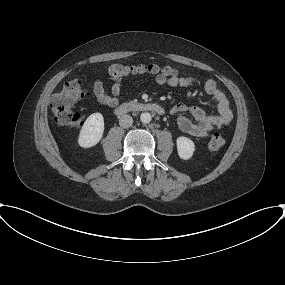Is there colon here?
Returning a JSON list of instances; mask_svg holds the SVG:
<instances>
[{
	"label": "colon",
	"mask_w": 285,
	"mask_h": 285,
	"mask_svg": "<svg viewBox=\"0 0 285 285\" xmlns=\"http://www.w3.org/2000/svg\"><path fill=\"white\" fill-rule=\"evenodd\" d=\"M108 74L112 79L120 80L127 76L150 74L170 78L177 76V71L169 66L161 67L155 64L126 66L114 64L109 67ZM87 92L80 81L72 80L64 84L60 92L55 93L50 100V107L54 114L55 122L62 127L78 128L82 125L81 116L74 111L75 103L83 99ZM225 144L224 138L215 133L211 136L208 146L211 150H218Z\"/></svg>",
	"instance_id": "5ec220e1"
}]
</instances>
